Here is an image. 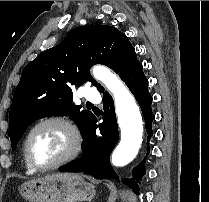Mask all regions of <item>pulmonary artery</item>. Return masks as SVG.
<instances>
[{"label":"pulmonary artery","mask_w":209,"mask_h":202,"mask_svg":"<svg viewBox=\"0 0 209 202\" xmlns=\"http://www.w3.org/2000/svg\"><path fill=\"white\" fill-rule=\"evenodd\" d=\"M84 98L93 104H99L101 101V96L99 92L93 88H87L84 92Z\"/></svg>","instance_id":"1"}]
</instances>
